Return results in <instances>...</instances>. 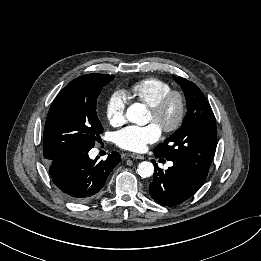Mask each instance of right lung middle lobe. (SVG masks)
<instances>
[{
	"label": "right lung middle lobe",
	"mask_w": 261,
	"mask_h": 261,
	"mask_svg": "<svg viewBox=\"0 0 261 261\" xmlns=\"http://www.w3.org/2000/svg\"><path fill=\"white\" fill-rule=\"evenodd\" d=\"M113 78L106 74L82 75L57 95L44 127L46 159H63L94 147L103 132L96 113L97 97Z\"/></svg>",
	"instance_id": "1"
}]
</instances>
